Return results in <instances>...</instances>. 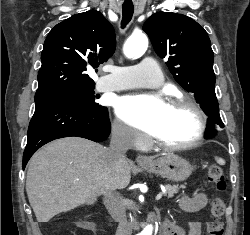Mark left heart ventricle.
Returning <instances> with one entry per match:
<instances>
[{
  "instance_id": "left-heart-ventricle-1",
  "label": "left heart ventricle",
  "mask_w": 250,
  "mask_h": 235,
  "mask_svg": "<svg viewBox=\"0 0 250 235\" xmlns=\"http://www.w3.org/2000/svg\"><path fill=\"white\" fill-rule=\"evenodd\" d=\"M198 128L197 117L186 107L167 106L161 114L152 135L159 140L178 144L190 141Z\"/></svg>"
}]
</instances>
